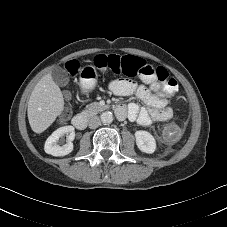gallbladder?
Listing matches in <instances>:
<instances>
[{
	"mask_svg": "<svg viewBox=\"0 0 227 227\" xmlns=\"http://www.w3.org/2000/svg\"><path fill=\"white\" fill-rule=\"evenodd\" d=\"M52 78L54 82L59 86H66L69 82L68 72L61 67H56L52 71Z\"/></svg>",
	"mask_w": 227,
	"mask_h": 227,
	"instance_id": "obj_1",
	"label": "gallbladder"
}]
</instances>
